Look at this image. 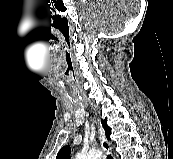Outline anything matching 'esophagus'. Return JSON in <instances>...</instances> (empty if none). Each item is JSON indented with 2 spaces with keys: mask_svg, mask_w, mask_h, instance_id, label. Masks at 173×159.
I'll return each instance as SVG.
<instances>
[{
  "mask_svg": "<svg viewBox=\"0 0 173 159\" xmlns=\"http://www.w3.org/2000/svg\"><path fill=\"white\" fill-rule=\"evenodd\" d=\"M98 133L101 142V147L105 152V159H115L114 155L112 154L110 143L107 140L104 129L102 128L99 121H98Z\"/></svg>",
  "mask_w": 173,
  "mask_h": 159,
  "instance_id": "1",
  "label": "esophagus"
}]
</instances>
